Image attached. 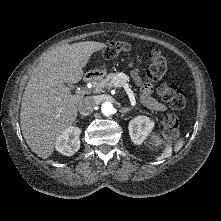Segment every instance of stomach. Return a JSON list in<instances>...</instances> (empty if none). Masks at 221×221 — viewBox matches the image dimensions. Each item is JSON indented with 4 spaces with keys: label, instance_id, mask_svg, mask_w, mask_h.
Segmentation results:
<instances>
[{
    "label": "stomach",
    "instance_id": "1",
    "mask_svg": "<svg viewBox=\"0 0 221 221\" xmlns=\"http://www.w3.org/2000/svg\"><path fill=\"white\" fill-rule=\"evenodd\" d=\"M98 72H100V73H102L104 75L107 72V68L106 67H102L101 69L98 70Z\"/></svg>",
    "mask_w": 221,
    "mask_h": 221
}]
</instances>
